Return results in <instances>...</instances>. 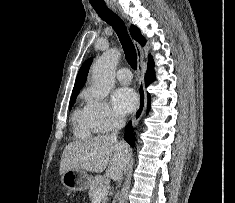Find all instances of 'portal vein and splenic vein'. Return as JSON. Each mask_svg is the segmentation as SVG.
Wrapping results in <instances>:
<instances>
[{
    "mask_svg": "<svg viewBox=\"0 0 235 203\" xmlns=\"http://www.w3.org/2000/svg\"><path fill=\"white\" fill-rule=\"evenodd\" d=\"M107 195H108V189L105 187V188H103V189L98 190V191L95 193L93 199L96 200V201H98V200L103 199V198L106 197Z\"/></svg>",
    "mask_w": 235,
    "mask_h": 203,
    "instance_id": "1",
    "label": "portal vein and splenic vein"
}]
</instances>
